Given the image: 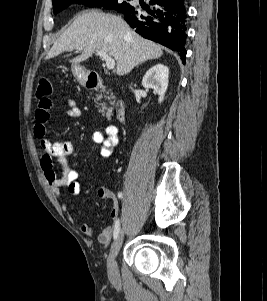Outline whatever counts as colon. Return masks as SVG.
Wrapping results in <instances>:
<instances>
[{
	"mask_svg": "<svg viewBox=\"0 0 267 301\" xmlns=\"http://www.w3.org/2000/svg\"><path fill=\"white\" fill-rule=\"evenodd\" d=\"M52 90L51 82L46 78H42L38 82L36 95L38 98H47L52 94Z\"/></svg>",
	"mask_w": 267,
	"mask_h": 301,
	"instance_id": "5ec220e1",
	"label": "colon"
}]
</instances>
